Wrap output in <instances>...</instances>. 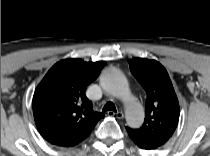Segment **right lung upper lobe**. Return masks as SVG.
Listing matches in <instances>:
<instances>
[{
  "label": "right lung upper lobe",
  "mask_w": 210,
  "mask_h": 156,
  "mask_svg": "<svg viewBox=\"0 0 210 156\" xmlns=\"http://www.w3.org/2000/svg\"><path fill=\"white\" fill-rule=\"evenodd\" d=\"M77 60H63L47 73L33 98V111L41 135L50 143L72 146L91 132L97 114L85 96L95 76L78 72Z\"/></svg>",
  "instance_id": "right-lung-upper-lobe-1"
}]
</instances>
